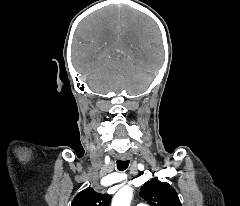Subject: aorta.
I'll use <instances>...</instances> for the list:
<instances>
[{"label": "aorta", "mask_w": 240, "mask_h": 206, "mask_svg": "<svg viewBox=\"0 0 240 206\" xmlns=\"http://www.w3.org/2000/svg\"><path fill=\"white\" fill-rule=\"evenodd\" d=\"M133 197V189L131 187L121 188L113 197L111 206H130Z\"/></svg>", "instance_id": "aorta-1"}]
</instances>
